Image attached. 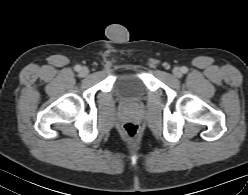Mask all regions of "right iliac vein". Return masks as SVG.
Segmentation results:
<instances>
[{
    "label": "right iliac vein",
    "instance_id": "1",
    "mask_svg": "<svg viewBox=\"0 0 248 195\" xmlns=\"http://www.w3.org/2000/svg\"><path fill=\"white\" fill-rule=\"evenodd\" d=\"M80 72L83 76H87L89 73V69L87 67H83L81 68Z\"/></svg>",
    "mask_w": 248,
    "mask_h": 195
}]
</instances>
